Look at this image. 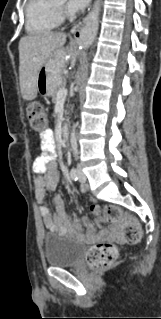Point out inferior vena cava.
<instances>
[{
  "label": "inferior vena cava",
  "mask_w": 161,
  "mask_h": 319,
  "mask_svg": "<svg viewBox=\"0 0 161 319\" xmlns=\"http://www.w3.org/2000/svg\"><path fill=\"white\" fill-rule=\"evenodd\" d=\"M70 141H71V147H72V149L74 151V154L77 156L78 150H77V140L75 138V126L73 128V132L71 133Z\"/></svg>",
  "instance_id": "inferior-vena-cava-1"
}]
</instances>
